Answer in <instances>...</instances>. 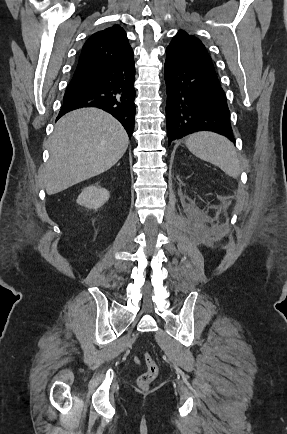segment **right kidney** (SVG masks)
I'll use <instances>...</instances> for the list:
<instances>
[{
  "instance_id": "ca27d5eb",
  "label": "right kidney",
  "mask_w": 287,
  "mask_h": 434,
  "mask_svg": "<svg viewBox=\"0 0 287 434\" xmlns=\"http://www.w3.org/2000/svg\"><path fill=\"white\" fill-rule=\"evenodd\" d=\"M109 191L98 185H91L82 190L77 198V203L90 209H98L109 199Z\"/></svg>"
}]
</instances>
